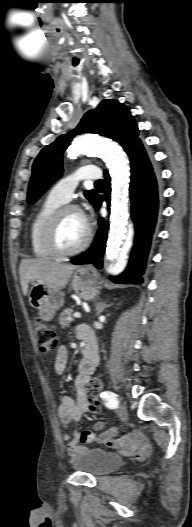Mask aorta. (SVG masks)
<instances>
[{
    "label": "aorta",
    "mask_w": 192,
    "mask_h": 527,
    "mask_svg": "<svg viewBox=\"0 0 192 527\" xmlns=\"http://www.w3.org/2000/svg\"><path fill=\"white\" fill-rule=\"evenodd\" d=\"M81 153L101 155L110 170L112 213L106 256L109 261L116 260L110 271L117 274L122 272L126 266L127 253L132 245L133 237V229L128 227L127 194L130 181L128 160L118 145L98 136L78 137L69 147L67 156L70 159H76Z\"/></svg>",
    "instance_id": "1"
}]
</instances>
